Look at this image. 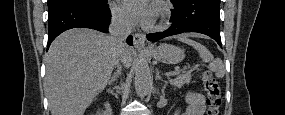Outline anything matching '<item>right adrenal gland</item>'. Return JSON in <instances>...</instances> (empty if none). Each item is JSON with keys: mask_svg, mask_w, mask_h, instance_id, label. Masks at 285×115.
I'll list each match as a JSON object with an SVG mask.
<instances>
[{"mask_svg": "<svg viewBox=\"0 0 285 115\" xmlns=\"http://www.w3.org/2000/svg\"><path fill=\"white\" fill-rule=\"evenodd\" d=\"M121 74V68L120 66L117 67V71L113 74V76L110 78L109 80V84H112L113 82H115L117 80V78L119 77V75Z\"/></svg>", "mask_w": 285, "mask_h": 115, "instance_id": "2a0ac1e0", "label": "right adrenal gland"}]
</instances>
